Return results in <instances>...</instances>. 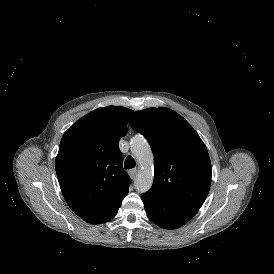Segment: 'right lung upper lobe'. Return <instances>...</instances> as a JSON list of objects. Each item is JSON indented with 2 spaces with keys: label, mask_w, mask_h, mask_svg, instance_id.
Masks as SVG:
<instances>
[{
  "label": "right lung upper lobe",
  "mask_w": 274,
  "mask_h": 274,
  "mask_svg": "<svg viewBox=\"0 0 274 274\" xmlns=\"http://www.w3.org/2000/svg\"><path fill=\"white\" fill-rule=\"evenodd\" d=\"M133 111L95 109L63 135L55 167L62 194L83 220L100 224L113 218L128 194L131 179L123 169L119 140Z\"/></svg>",
  "instance_id": "cb5924a9"
}]
</instances>
